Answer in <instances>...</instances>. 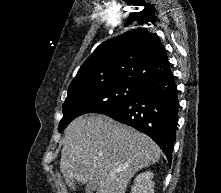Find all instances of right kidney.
I'll return each mask as SVG.
<instances>
[{
    "label": "right kidney",
    "mask_w": 221,
    "mask_h": 193,
    "mask_svg": "<svg viewBox=\"0 0 221 193\" xmlns=\"http://www.w3.org/2000/svg\"><path fill=\"white\" fill-rule=\"evenodd\" d=\"M153 172L147 171L139 174L134 181L131 193H154Z\"/></svg>",
    "instance_id": "ca27d5eb"
}]
</instances>
